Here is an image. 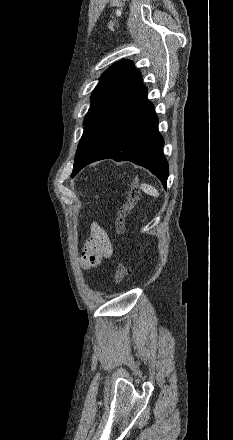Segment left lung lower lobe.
Wrapping results in <instances>:
<instances>
[{
  "instance_id": "0a47b994",
  "label": "left lung lower lobe",
  "mask_w": 233,
  "mask_h": 440,
  "mask_svg": "<svg viewBox=\"0 0 233 440\" xmlns=\"http://www.w3.org/2000/svg\"><path fill=\"white\" fill-rule=\"evenodd\" d=\"M146 96L147 88H144L115 117L71 177L92 162L111 158L147 168L166 187L168 163L162 150L164 140L158 131L154 106Z\"/></svg>"
}]
</instances>
